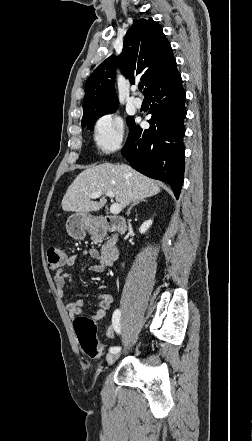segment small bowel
<instances>
[{
	"label": "small bowel",
	"instance_id": "obj_1",
	"mask_svg": "<svg viewBox=\"0 0 252 441\" xmlns=\"http://www.w3.org/2000/svg\"><path fill=\"white\" fill-rule=\"evenodd\" d=\"M82 255H89L92 259L95 260V263L90 265L89 270L93 272H103L106 269V266L103 264L100 254L96 249L83 250ZM79 258V254H73L69 258H67L66 263L57 270V273L54 276V284L57 290L58 295L61 298H66L72 293V284L73 279L71 275L64 273L65 268L73 266L77 259ZM97 301V309L87 314V317L93 320H101L105 317L106 312L111 308L114 298L111 294L108 293H100L96 297ZM85 302L82 299H77L67 305V309L69 311L70 316L75 319L77 316L81 315L84 310ZM114 334L113 325L110 326L106 332V337L110 338Z\"/></svg>",
	"mask_w": 252,
	"mask_h": 441
}]
</instances>
